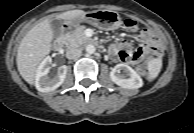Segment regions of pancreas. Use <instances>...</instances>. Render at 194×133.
I'll use <instances>...</instances> for the list:
<instances>
[{
  "instance_id": "obj_1",
  "label": "pancreas",
  "mask_w": 194,
  "mask_h": 133,
  "mask_svg": "<svg viewBox=\"0 0 194 133\" xmlns=\"http://www.w3.org/2000/svg\"><path fill=\"white\" fill-rule=\"evenodd\" d=\"M85 29H86L85 26H80L71 33H67L64 36L66 45L68 47H79L88 43L91 40V38L85 35Z\"/></svg>"
}]
</instances>
